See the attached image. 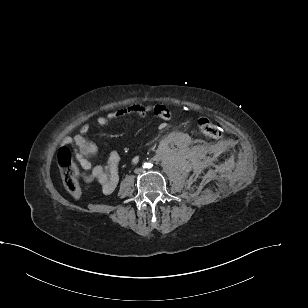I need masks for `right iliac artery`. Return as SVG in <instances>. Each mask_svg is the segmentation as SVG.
<instances>
[{
	"label": "right iliac artery",
	"instance_id": "82829eb1",
	"mask_svg": "<svg viewBox=\"0 0 308 308\" xmlns=\"http://www.w3.org/2000/svg\"><path fill=\"white\" fill-rule=\"evenodd\" d=\"M145 167H147V164H146V163L144 164L143 168H145Z\"/></svg>",
	"mask_w": 308,
	"mask_h": 308
}]
</instances>
